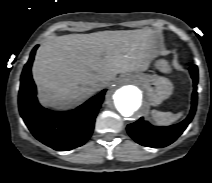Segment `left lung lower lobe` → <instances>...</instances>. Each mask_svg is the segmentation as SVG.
Instances as JSON below:
<instances>
[{"instance_id":"obj_1","label":"left lung lower lobe","mask_w":212,"mask_h":183,"mask_svg":"<svg viewBox=\"0 0 212 183\" xmlns=\"http://www.w3.org/2000/svg\"><path fill=\"white\" fill-rule=\"evenodd\" d=\"M191 77L194 82V91L192 95V107L188 117L179 124L155 127L140 118L138 121L129 124L127 131L129 135L139 144L147 147L161 148L173 143L186 129L194 117L197 105V83L198 68L196 65L190 67Z\"/></svg>"}]
</instances>
